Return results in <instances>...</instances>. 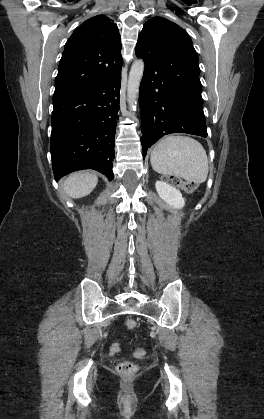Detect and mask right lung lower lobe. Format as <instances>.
Segmentation results:
<instances>
[{
	"label": "right lung lower lobe",
	"instance_id": "obj_1",
	"mask_svg": "<svg viewBox=\"0 0 264 419\" xmlns=\"http://www.w3.org/2000/svg\"><path fill=\"white\" fill-rule=\"evenodd\" d=\"M121 71L98 85L53 96L51 159L55 180L94 169L111 181Z\"/></svg>",
	"mask_w": 264,
	"mask_h": 419
}]
</instances>
